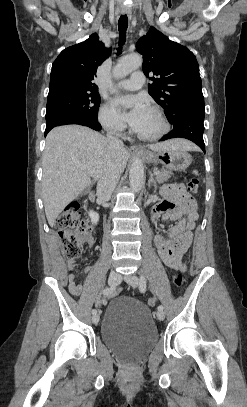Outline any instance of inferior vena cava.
<instances>
[{
	"instance_id": "602c4592",
	"label": "inferior vena cava",
	"mask_w": 247,
	"mask_h": 407,
	"mask_svg": "<svg viewBox=\"0 0 247 407\" xmlns=\"http://www.w3.org/2000/svg\"><path fill=\"white\" fill-rule=\"evenodd\" d=\"M107 139L115 147H123V142L112 136L110 133L107 134ZM120 178V173L115 169L106 170L99 177L97 183V194L98 197L104 201H107L111 198V194L115 189Z\"/></svg>"
}]
</instances>
